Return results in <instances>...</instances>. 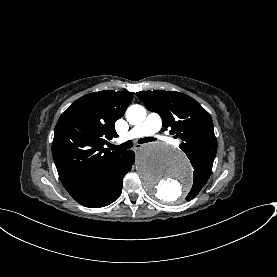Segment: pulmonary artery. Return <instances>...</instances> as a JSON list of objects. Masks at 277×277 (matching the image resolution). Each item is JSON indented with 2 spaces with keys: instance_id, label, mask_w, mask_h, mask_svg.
Segmentation results:
<instances>
[{
  "instance_id": "e3ab8cb5",
  "label": "pulmonary artery",
  "mask_w": 277,
  "mask_h": 277,
  "mask_svg": "<svg viewBox=\"0 0 277 277\" xmlns=\"http://www.w3.org/2000/svg\"><path fill=\"white\" fill-rule=\"evenodd\" d=\"M166 123V118L161 113H156L147 119L142 125H135L129 132L122 135L124 144H132L142 137H150L155 132H159Z\"/></svg>"
}]
</instances>
